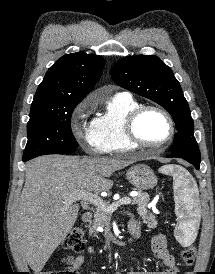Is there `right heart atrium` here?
Instances as JSON below:
<instances>
[{
  "instance_id": "right-heart-atrium-1",
  "label": "right heart atrium",
  "mask_w": 215,
  "mask_h": 274,
  "mask_svg": "<svg viewBox=\"0 0 215 274\" xmlns=\"http://www.w3.org/2000/svg\"><path fill=\"white\" fill-rule=\"evenodd\" d=\"M91 103L87 100L81 102L74 113L72 131L81 146L91 154H104L106 149L95 133L93 121H89Z\"/></svg>"
}]
</instances>
